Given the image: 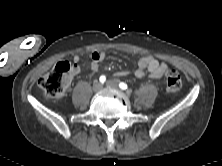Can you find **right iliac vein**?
<instances>
[{"label": "right iliac vein", "instance_id": "obj_1", "mask_svg": "<svg viewBox=\"0 0 222 166\" xmlns=\"http://www.w3.org/2000/svg\"><path fill=\"white\" fill-rule=\"evenodd\" d=\"M102 88H103V85L100 82H95L93 84V90L95 92H98V91L102 90Z\"/></svg>", "mask_w": 222, "mask_h": 166}]
</instances>
